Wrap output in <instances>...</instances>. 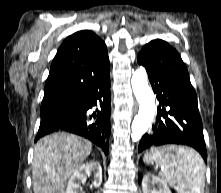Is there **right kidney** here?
<instances>
[{"mask_svg": "<svg viewBox=\"0 0 221 193\" xmlns=\"http://www.w3.org/2000/svg\"><path fill=\"white\" fill-rule=\"evenodd\" d=\"M94 173L93 185L99 187L102 182V168L99 162H89L79 166L67 184L65 193H81V184L86 182L87 175Z\"/></svg>", "mask_w": 221, "mask_h": 193, "instance_id": "right-kidney-1", "label": "right kidney"}]
</instances>
